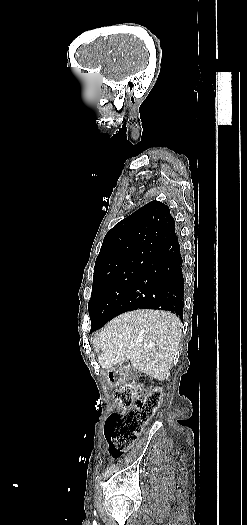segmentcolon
I'll use <instances>...</instances> for the list:
<instances>
[{
  "mask_svg": "<svg viewBox=\"0 0 247 525\" xmlns=\"http://www.w3.org/2000/svg\"><path fill=\"white\" fill-rule=\"evenodd\" d=\"M141 388L127 383L114 392V400L125 412L111 414L106 423L105 436L108 452L121 458L133 445L145 424L155 415L163 399L161 389L140 394Z\"/></svg>",
  "mask_w": 247,
  "mask_h": 525,
  "instance_id": "1",
  "label": "colon"
}]
</instances>
